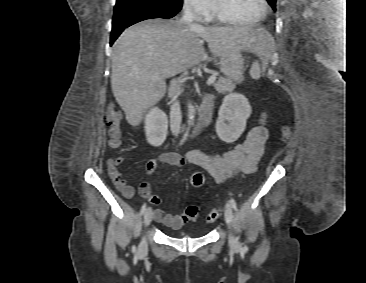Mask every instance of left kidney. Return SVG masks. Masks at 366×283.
Instances as JSON below:
<instances>
[{
    "label": "left kidney",
    "instance_id": "1",
    "mask_svg": "<svg viewBox=\"0 0 366 283\" xmlns=\"http://www.w3.org/2000/svg\"><path fill=\"white\" fill-rule=\"evenodd\" d=\"M251 111V106L243 95H227L215 125L218 137L226 143L235 142L244 132Z\"/></svg>",
    "mask_w": 366,
    "mask_h": 283
}]
</instances>
